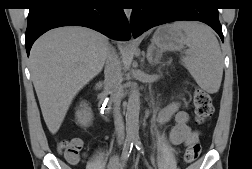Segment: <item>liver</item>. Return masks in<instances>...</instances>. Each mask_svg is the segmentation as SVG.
Wrapping results in <instances>:
<instances>
[{
    "instance_id": "6515ba94",
    "label": "liver",
    "mask_w": 252,
    "mask_h": 169,
    "mask_svg": "<svg viewBox=\"0 0 252 169\" xmlns=\"http://www.w3.org/2000/svg\"><path fill=\"white\" fill-rule=\"evenodd\" d=\"M109 41L86 27H60L32 46L29 68L44 121L59 130L78 92L103 69Z\"/></svg>"
}]
</instances>
